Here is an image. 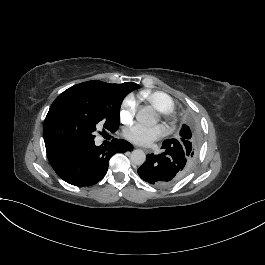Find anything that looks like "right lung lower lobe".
Returning a JSON list of instances; mask_svg holds the SVG:
<instances>
[{
	"mask_svg": "<svg viewBox=\"0 0 265 265\" xmlns=\"http://www.w3.org/2000/svg\"><path fill=\"white\" fill-rule=\"evenodd\" d=\"M132 150L133 145L122 139H113L107 148L95 146L92 139L60 145L47 151V157L61 179L75 186H90L105 176L115 153Z\"/></svg>",
	"mask_w": 265,
	"mask_h": 265,
	"instance_id": "1",
	"label": "right lung lower lobe"
}]
</instances>
